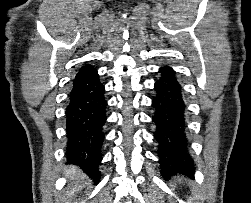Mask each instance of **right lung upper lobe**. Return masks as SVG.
Here are the masks:
<instances>
[{"instance_id": "cb5924a9", "label": "right lung upper lobe", "mask_w": 251, "mask_h": 203, "mask_svg": "<svg viewBox=\"0 0 251 203\" xmlns=\"http://www.w3.org/2000/svg\"><path fill=\"white\" fill-rule=\"evenodd\" d=\"M89 67H91V66H90V65H84V66H82V67L79 69L78 73L82 72L83 70H85V69H87V68H89ZM78 73H77V74H78Z\"/></svg>"}]
</instances>
